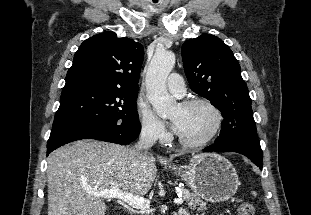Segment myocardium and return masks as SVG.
Returning a JSON list of instances; mask_svg holds the SVG:
<instances>
[{
    "label": "myocardium",
    "instance_id": "f54148a6",
    "mask_svg": "<svg viewBox=\"0 0 311 215\" xmlns=\"http://www.w3.org/2000/svg\"><path fill=\"white\" fill-rule=\"evenodd\" d=\"M181 107H191L195 105H203L208 107L214 114L215 116V124L211 130V132L202 140L199 141H187L181 138L179 135L177 136L178 142L186 147V148H191V149H197L206 146L209 144L220 132L222 125H223V114L221 110L210 100L205 99V98H200V97H195V98H189L186 100H183L182 102L179 103Z\"/></svg>",
    "mask_w": 311,
    "mask_h": 215
}]
</instances>
